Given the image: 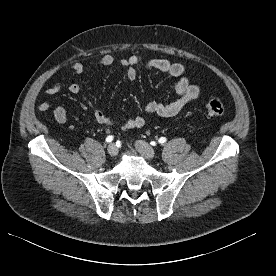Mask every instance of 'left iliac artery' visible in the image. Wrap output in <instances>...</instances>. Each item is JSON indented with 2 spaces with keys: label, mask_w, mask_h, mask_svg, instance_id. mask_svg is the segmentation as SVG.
Masks as SVG:
<instances>
[{
  "label": "left iliac artery",
  "mask_w": 276,
  "mask_h": 276,
  "mask_svg": "<svg viewBox=\"0 0 276 276\" xmlns=\"http://www.w3.org/2000/svg\"><path fill=\"white\" fill-rule=\"evenodd\" d=\"M166 138L165 137H161L159 140H158V142L160 143V144H163V143H165L166 142Z\"/></svg>",
  "instance_id": "1"
}]
</instances>
